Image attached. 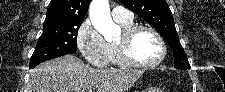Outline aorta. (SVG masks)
<instances>
[{"mask_svg": "<svg viewBox=\"0 0 225 92\" xmlns=\"http://www.w3.org/2000/svg\"><path fill=\"white\" fill-rule=\"evenodd\" d=\"M89 16L92 25L105 40H111L118 33L119 27L111 18L108 0H93L90 4Z\"/></svg>", "mask_w": 225, "mask_h": 92, "instance_id": "1", "label": "aorta"}]
</instances>
